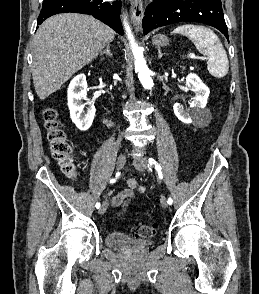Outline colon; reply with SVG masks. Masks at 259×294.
Instances as JSON below:
<instances>
[{"instance_id": "colon-1", "label": "colon", "mask_w": 259, "mask_h": 294, "mask_svg": "<svg viewBox=\"0 0 259 294\" xmlns=\"http://www.w3.org/2000/svg\"><path fill=\"white\" fill-rule=\"evenodd\" d=\"M43 117L53 157L58 160L61 169L69 178H75L76 168L72 159V145L59 125L56 110L47 108ZM156 228L154 224H140L135 229L134 235L140 238H149L156 233Z\"/></svg>"}]
</instances>
